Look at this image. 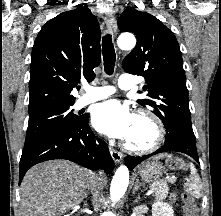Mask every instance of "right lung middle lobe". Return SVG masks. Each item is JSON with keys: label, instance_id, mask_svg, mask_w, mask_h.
Listing matches in <instances>:
<instances>
[{"label": "right lung middle lobe", "instance_id": "right-lung-middle-lobe-1", "mask_svg": "<svg viewBox=\"0 0 221 216\" xmlns=\"http://www.w3.org/2000/svg\"><path fill=\"white\" fill-rule=\"evenodd\" d=\"M70 106L50 108L29 115L24 147L39 141L53 132L77 123L81 116L75 115Z\"/></svg>", "mask_w": 221, "mask_h": 216}]
</instances>
